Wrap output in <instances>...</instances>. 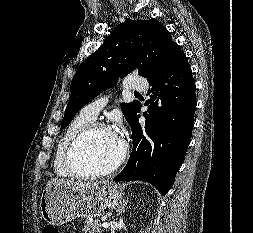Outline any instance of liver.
<instances>
[{"instance_id":"obj_1","label":"liver","mask_w":253,"mask_h":233,"mask_svg":"<svg viewBox=\"0 0 253 233\" xmlns=\"http://www.w3.org/2000/svg\"><path fill=\"white\" fill-rule=\"evenodd\" d=\"M63 185L70 187L74 190H84L91 187L98 186V182H79V181H72V180H66V179H59V178H52L49 180L46 184V186L50 185Z\"/></svg>"}]
</instances>
